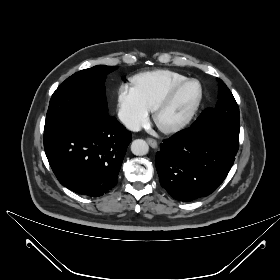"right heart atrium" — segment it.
Here are the masks:
<instances>
[{
  "instance_id": "1",
  "label": "right heart atrium",
  "mask_w": 280,
  "mask_h": 280,
  "mask_svg": "<svg viewBox=\"0 0 280 280\" xmlns=\"http://www.w3.org/2000/svg\"><path fill=\"white\" fill-rule=\"evenodd\" d=\"M118 116L121 122L131 130H137L149 119V109L144 105L136 90L121 84L118 89Z\"/></svg>"
}]
</instances>
